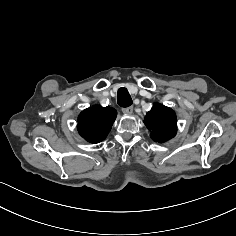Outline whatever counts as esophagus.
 <instances>
[{
  "instance_id": "1",
  "label": "esophagus",
  "mask_w": 236,
  "mask_h": 236,
  "mask_svg": "<svg viewBox=\"0 0 236 236\" xmlns=\"http://www.w3.org/2000/svg\"><path fill=\"white\" fill-rule=\"evenodd\" d=\"M122 112H123L124 114L130 115V114L133 113V108H132V107L123 108V109H122Z\"/></svg>"
}]
</instances>
